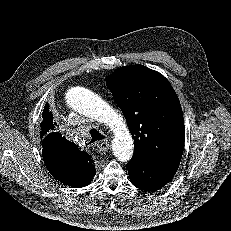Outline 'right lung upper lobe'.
I'll return each instance as SVG.
<instances>
[{"label":"right lung upper lobe","instance_id":"right-lung-upper-lobe-1","mask_svg":"<svg viewBox=\"0 0 231 231\" xmlns=\"http://www.w3.org/2000/svg\"><path fill=\"white\" fill-rule=\"evenodd\" d=\"M41 122L42 156L49 172L61 183L75 188L88 185L94 176L91 156L58 132L59 125L45 105Z\"/></svg>","mask_w":231,"mask_h":231}]
</instances>
